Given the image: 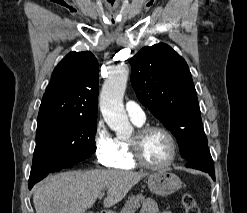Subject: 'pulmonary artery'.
Listing matches in <instances>:
<instances>
[{
    "mask_svg": "<svg viewBox=\"0 0 247 213\" xmlns=\"http://www.w3.org/2000/svg\"><path fill=\"white\" fill-rule=\"evenodd\" d=\"M125 108H126L127 115L129 116L131 121L138 123V124H142L145 121L146 115L143 109L135 102L133 101L127 102L125 105Z\"/></svg>",
    "mask_w": 247,
    "mask_h": 213,
    "instance_id": "obj_1",
    "label": "pulmonary artery"
}]
</instances>
